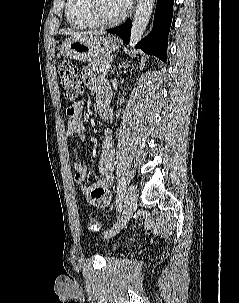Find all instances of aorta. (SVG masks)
Listing matches in <instances>:
<instances>
[{
    "label": "aorta",
    "instance_id": "1",
    "mask_svg": "<svg viewBox=\"0 0 239 303\" xmlns=\"http://www.w3.org/2000/svg\"><path fill=\"white\" fill-rule=\"evenodd\" d=\"M155 0H137L132 21L130 45L134 46L143 36L153 12Z\"/></svg>",
    "mask_w": 239,
    "mask_h": 303
}]
</instances>
